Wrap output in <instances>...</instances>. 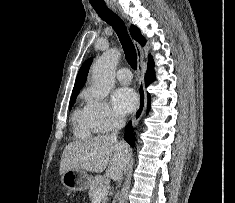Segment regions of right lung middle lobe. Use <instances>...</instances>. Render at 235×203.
<instances>
[{
    "instance_id": "dd1d6c3e",
    "label": "right lung middle lobe",
    "mask_w": 235,
    "mask_h": 203,
    "mask_svg": "<svg viewBox=\"0 0 235 203\" xmlns=\"http://www.w3.org/2000/svg\"><path fill=\"white\" fill-rule=\"evenodd\" d=\"M77 94H78V93H74V94H72V96H71L70 103H69V109H70V110H71V108H72V106H73V104H74V102H75V99H76Z\"/></svg>"
}]
</instances>
